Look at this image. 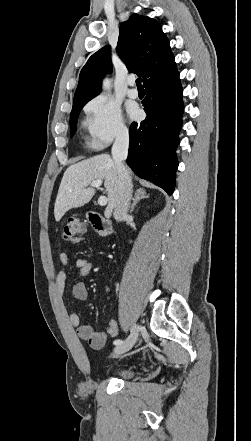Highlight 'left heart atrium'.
Returning <instances> with one entry per match:
<instances>
[{"label": "left heart atrium", "mask_w": 251, "mask_h": 441, "mask_svg": "<svg viewBox=\"0 0 251 441\" xmlns=\"http://www.w3.org/2000/svg\"><path fill=\"white\" fill-rule=\"evenodd\" d=\"M128 113H129V116H130L132 119H136V118L139 116V110H138V108L135 107V106H131V107H129V109H128Z\"/></svg>", "instance_id": "left-heart-atrium-1"}]
</instances>
